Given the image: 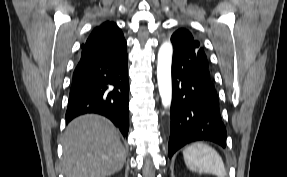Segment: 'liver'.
I'll list each match as a JSON object with an SVG mask.
<instances>
[{"mask_svg":"<svg viewBox=\"0 0 287 177\" xmlns=\"http://www.w3.org/2000/svg\"><path fill=\"white\" fill-rule=\"evenodd\" d=\"M126 153L115 126L106 118L88 114L74 119L63 140L66 177H106L120 171Z\"/></svg>","mask_w":287,"mask_h":177,"instance_id":"liver-1","label":"liver"}]
</instances>
